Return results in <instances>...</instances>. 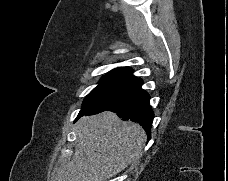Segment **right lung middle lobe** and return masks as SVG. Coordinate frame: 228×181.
<instances>
[{
  "instance_id": "obj_1",
  "label": "right lung middle lobe",
  "mask_w": 228,
  "mask_h": 181,
  "mask_svg": "<svg viewBox=\"0 0 228 181\" xmlns=\"http://www.w3.org/2000/svg\"><path fill=\"white\" fill-rule=\"evenodd\" d=\"M130 82L131 81L128 80L115 78H102L99 85L84 99L80 112L96 108L109 102L120 94Z\"/></svg>"
}]
</instances>
